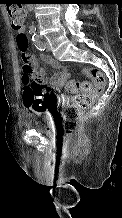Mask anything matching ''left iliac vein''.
<instances>
[{"label": "left iliac vein", "instance_id": "obj_1", "mask_svg": "<svg viewBox=\"0 0 122 218\" xmlns=\"http://www.w3.org/2000/svg\"><path fill=\"white\" fill-rule=\"evenodd\" d=\"M44 46L47 51H50V44L47 41L44 42Z\"/></svg>", "mask_w": 122, "mask_h": 218}]
</instances>
